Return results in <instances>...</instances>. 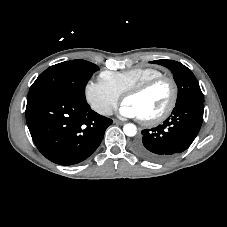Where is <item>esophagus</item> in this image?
<instances>
[{
    "mask_svg": "<svg viewBox=\"0 0 227 227\" xmlns=\"http://www.w3.org/2000/svg\"><path fill=\"white\" fill-rule=\"evenodd\" d=\"M113 122L117 125H123L125 122L114 119Z\"/></svg>",
    "mask_w": 227,
    "mask_h": 227,
    "instance_id": "34e87169",
    "label": "esophagus"
}]
</instances>
